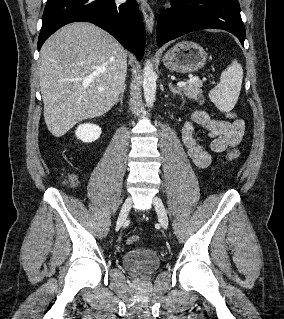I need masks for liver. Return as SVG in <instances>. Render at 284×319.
<instances>
[{
    "instance_id": "1",
    "label": "liver",
    "mask_w": 284,
    "mask_h": 319,
    "mask_svg": "<svg viewBox=\"0 0 284 319\" xmlns=\"http://www.w3.org/2000/svg\"><path fill=\"white\" fill-rule=\"evenodd\" d=\"M127 52L106 31L85 22L65 25L42 46L39 80L44 120L55 136L101 116L125 85Z\"/></svg>"
}]
</instances>
